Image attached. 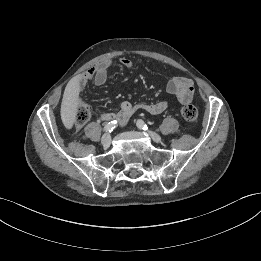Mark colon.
I'll return each mask as SVG.
<instances>
[{
  "label": "colon",
  "mask_w": 261,
  "mask_h": 261,
  "mask_svg": "<svg viewBox=\"0 0 261 261\" xmlns=\"http://www.w3.org/2000/svg\"><path fill=\"white\" fill-rule=\"evenodd\" d=\"M180 113L182 117L189 123H195L198 118V111L195 106L186 104L181 107ZM92 110L89 104L82 103L78 106L75 115V124L82 126L91 118Z\"/></svg>",
  "instance_id": "obj_1"
}]
</instances>
